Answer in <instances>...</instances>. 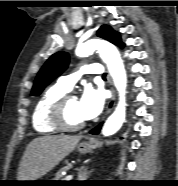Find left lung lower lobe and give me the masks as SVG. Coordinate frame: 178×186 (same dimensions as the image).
I'll use <instances>...</instances> for the list:
<instances>
[{
  "label": "left lung lower lobe",
  "mask_w": 178,
  "mask_h": 186,
  "mask_svg": "<svg viewBox=\"0 0 178 186\" xmlns=\"http://www.w3.org/2000/svg\"><path fill=\"white\" fill-rule=\"evenodd\" d=\"M102 124L98 125L96 128L90 131L91 134H98L101 129Z\"/></svg>",
  "instance_id": "left-lung-lower-lobe-1"
}]
</instances>
